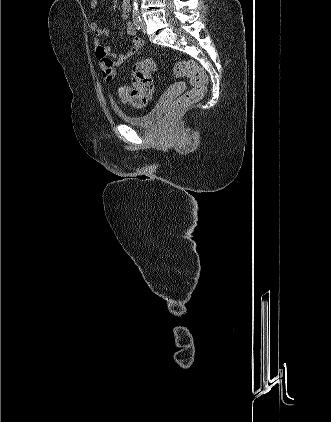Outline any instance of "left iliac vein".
Wrapping results in <instances>:
<instances>
[{"label":"left iliac vein","instance_id":"left-iliac-vein-1","mask_svg":"<svg viewBox=\"0 0 331 422\" xmlns=\"http://www.w3.org/2000/svg\"><path fill=\"white\" fill-rule=\"evenodd\" d=\"M141 27H142V31L145 32L146 31V25H145V21L142 19L141 22Z\"/></svg>","mask_w":331,"mask_h":422}]
</instances>
